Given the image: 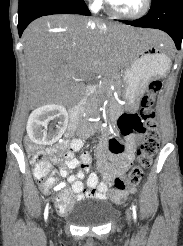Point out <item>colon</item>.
Listing matches in <instances>:
<instances>
[{
    "instance_id": "obj_1",
    "label": "colon",
    "mask_w": 183,
    "mask_h": 246,
    "mask_svg": "<svg viewBox=\"0 0 183 246\" xmlns=\"http://www.w3.org/2000/svg\"><path fill=\"white\" fill-rule=\"evenodd\" d=\"M160 80H154L149 84L146 94L141 100L139 114H122L117 121V127L121 135L127 136L135 133L143 134L144 140L137 150L138 163L132 170L123 176L114 179V188L117 191L116 203H123L128 191H133L137 184L144 178L153 157L159 148V131L156 122L155 104L157 96L161 90ZM109 151L111 155H123L126 152L125 143H121L117 138L109 139ZM28 154L35 168V175L44 188H47L53 176L50 174L49 165L42 150L27 144ZM70 206L69 200H64L61 196L57 199L59 212L65 211Z\"/></svg>"
}]
</instances>
